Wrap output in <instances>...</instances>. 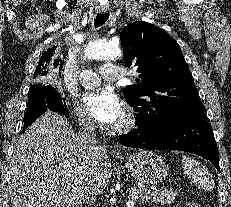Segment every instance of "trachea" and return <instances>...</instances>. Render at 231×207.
<instances>
[{
	"instance_id": "trachea-1",
	"label": "trachea",
	"mask_w": 231,
	"mask_h": 207,
	"mask_svg": "<svg viewBox=\"0 0 231 207\" xmlns=\"http://www.w3.org/2000/svg\"><path fill=\"white\" fill-rule=\"evenodd\" d=\"M109 18V13L100 14L98 13L95 20H94V26L97 28L101 25H103Z\"/></svg>"
}]
</instances>
